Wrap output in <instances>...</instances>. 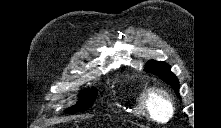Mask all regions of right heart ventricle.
Returning a JSON list of instances; mask_svg holds the SVG:
<instances>
[{"mask_svg":"<svg viewBox=\"0 0 221 128\" xmlns=\"http://www.w3.org/2000/svg\"><path fill=\"white\" fill-rule=\"evenodd\" d=\"M143 91H140L138 95L135 97L133 103L128 106L127 112L135 115H140L142 113V105H141V98H142Z\"/></svg>","mask_w":221,"mask_h":128,"instance_id":"obj_1","label":"right heart ventricle"}]
</instances>
